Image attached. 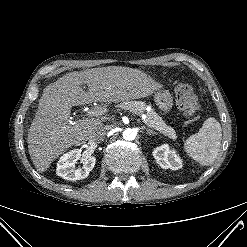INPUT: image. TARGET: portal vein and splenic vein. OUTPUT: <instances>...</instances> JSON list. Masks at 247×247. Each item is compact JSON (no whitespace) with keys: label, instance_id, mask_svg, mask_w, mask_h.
Here are the masks:
<instances>
[{"label":"portal vein and splenic vein","instance_id":"obj_1","mask_svg":"<svg viewBox=\"0 0 247 247\" xmlns=\"http://www.w3.org/2000/svg\"><path fill=\"white\" fill-rule=\"evenodd\" d=\"M131 113L133 114H136L137 115V112L133 111V110H129ZM106 113V109L105 108H102V107H97V108H94V109H91L90 111H88V116H100L102 114ZM146 116L143 115V118H145Z\"/></svg>","mask_w":247,"mask_h":247}]
</instances>
